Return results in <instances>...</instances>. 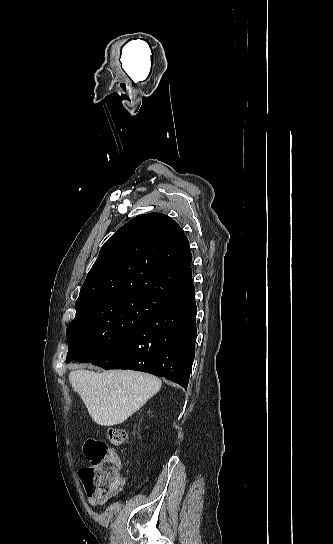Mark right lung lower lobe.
<instances>
[{"mask_svg": "<svg viewBox=\"0 0 333 544\" xmlns=\"http://www.w3.org/2000/svg\"><path fill=\"white\" fill-rule=\"evenodd\" d=\"M195 289L169 300L139 329L79 362L163 376L187 388L195 356Z\"/></svg>", "mask_w": 333, "mask_h": 544, "instance_id": "obj_1", "label": "right lung lower lobe"}]
</instances>
